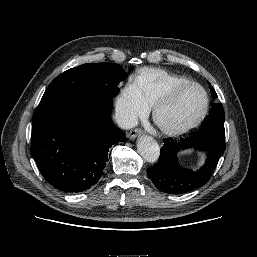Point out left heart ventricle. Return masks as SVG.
Returning <instances> with one entry per match:
<instances>
[{"mask_svg":"<svg viewBox=\"0 0 257 257\" xmlns=\"http://www.w3.org/2000/svg\"><path fill=\"white\" fill-rule=\"evenodd\" d=\"M204 105V95L200 88L190 87L181 91L174 100L159 112L161 122L176 127L193 121Z\"/></svg>","mask_w":257,"mask_h":257,"instance_id":"obj_1","label":"left heart ventricle"}]
</instances>
